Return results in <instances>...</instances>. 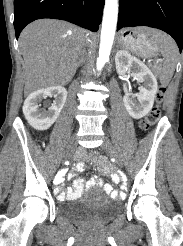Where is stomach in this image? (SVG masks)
I'll list each match as a JSON object with an SVG mask.
<instances>
[{
  "instance_id": "0dacf381",
  "label": "stomach",
  "mask_w": 183,
  "mask_h": 246,
  "mask_svg": "<svg viewBox=\"0 0 183 246\" xmlns=\"http://www.w3.org/2000/svg\"><path fill=\"white\" fill-rule=\"evenodd\" d=\"M147 28H127L121 31L119 42L128 50L140 55H154L158 52V45Z\"/></svg>"
}]
</instances>
